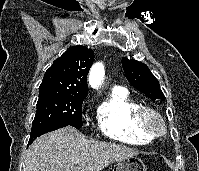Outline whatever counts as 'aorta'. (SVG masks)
I'll return each instance as SVG.
<instances>
[{"label": "aorta", "mask_w": 199, "mask_h": 171, "mask_svg": "<svg viewBox=\"0 0 199 171\" xmlns=\"http://www.w3.org/2000/svg\"><path fill=\"white\" fill-rule=\"evenodd\" d=\"M105 69L104 65L100 62L95 63L89 72V84L92 88H98L104 78Z\"/></svg>", "instance_id": "1"}]
</instances>
